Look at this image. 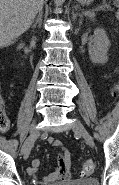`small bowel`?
Here are the masks:
<instances>
[{
  "mask_svg": "<svg viewBox=\"0 0 119 185\" xmlns=\"http://www.w3.org/2000/svg\"><path fill=\"white\" fill-rule=\"evenodd\" d=\"M48 142L56 149L61 150L60 157L57 162L56 169L51 172L50 174L43 176L42 178H38L36 176L39 166H40V160L38 158L33 159L31 166L27 168V173L33 178L42 184H48L53 183L59 180H68L70 178L71 172H70V153L66 149L65 145L57 139H54L53 137L48 138Z\"/></svg>",
  "mask_w": 119,
  "mask_h": 185,
  "instance_id": "small-bowel-1",
  "label": "small bowel"
}]
</instances>
